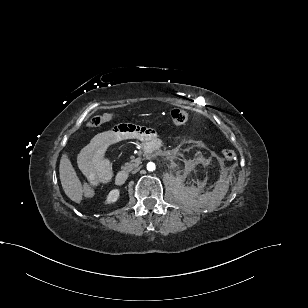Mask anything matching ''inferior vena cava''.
I'll list each match as a JSON object with an SVG mask.
<instances>
[{"label": "inferior vena cava", "instance_id": "602c4592", "mask_svg": "<svg viewBox=\"0 0 308 308\" xmlns=\"http://www.w3.org/2000/svg\"><path fill=\"white\" fill-rule=\"evenodd\" d=\"M139 169H135L132 173L135 174Z\"/></svg>", "mask_w": 308, "mask_h": 308}]
</instances>
